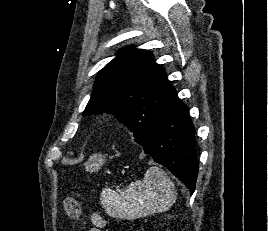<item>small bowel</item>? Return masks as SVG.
<instances>
[{"label": "small bowel", "instance_id": "c3829d8e", "mask_svg": "<svg viewBox=\"0 0 268 231\" xmlns=\"http://www.w3.org/2000/svg\"><path fill=\"white\" fill-rule=\"evenodd\" d=\"M91 220L94 224V227L90 231H99V229L104 225L103 218L96 212L91 214Z\"/></svg>", "mask_w": 268, "mask_h": 231}]
</instances>
